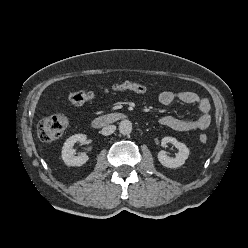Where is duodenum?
<instances>
[{"instance_id": "1", "label": "duodenum", "mask_w": 248, "mask_h": 248, "mask_svg": "<svg viewBox=\"0 0 248 248\" xmlns=\"http://www.w3.org/2000/svg\"><path fill=\"white\" fill-rule=\"evenodd\" d=\"M125 118V115L121 112H111L92 120L91 124L93 127H100L105 125H110L112 123L121 121Z\"/></svg>"}]
</instances>
